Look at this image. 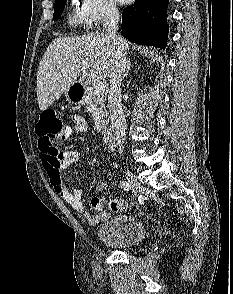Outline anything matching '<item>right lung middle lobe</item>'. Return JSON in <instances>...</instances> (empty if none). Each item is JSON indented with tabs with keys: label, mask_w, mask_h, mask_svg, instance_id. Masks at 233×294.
I'll return each mask as SVG.
<instances>
[{
	"label": "right lung middle lobe",
	"mask_w": 233,
	"mask_h": 294,
	"mask_svg": "<svg viewBox=\"0 0 233 294\" xmlns=\"http://www.w3.org/2000/svg\"><path fill=\"white\" fill-rule=\"evenodd\" d=\"M66 1L67 0H55V7H54V14H53L54 20L58 19L61 16L65 8Z\"/></svg>",
	"instance_id": "1"
}]
</instances>
